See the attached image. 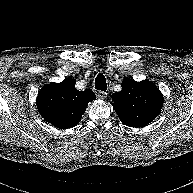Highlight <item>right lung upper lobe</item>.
I'll use <instances>...</instances> for the list:
<instances>
[{
	"label": "right lung upper lobe",
	"mask_w": 193,
	"mask_h": 193,
	"mask_svg": "<svg viewBox=\"0 0 193 193\" xmlns=\"http://www.w3.org/2000/svg\"><path fill=\"white\" fill-rule=\"evenodd\" d=\"M76 80L68 78L61 83L44 85L37 96L36 105L44 120L56 128L76 126L90 101L96 99L91 89L78 91Z\"/></svg>",
	"instance_id": "1"
}]
</instances>
